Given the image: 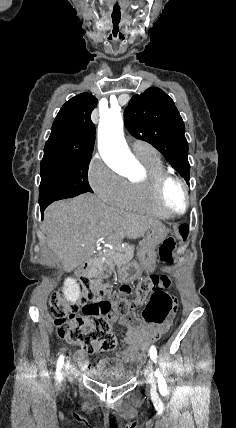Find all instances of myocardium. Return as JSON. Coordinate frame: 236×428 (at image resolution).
<instances>
[{"mask_svg":"<svg viewBox=\"0 0 236 428\" xmlns=\"http://www.w3.org/2000/svg\"><path fill=\"white\" fill-rule=\"evenodd\" d=\"M171 183H176L180 186L184 194L183 206L178 208L171 205L167 201L166 189ZM152 194L157 206L164 212L170 215H179L184 213L190 205V191L187 183L180 177L169 173L163 172L152 180Z\"/></svg>","mask_w":236,"mask_h":428,"instance_id":"f54148a6","label":"myocardium"}]
</instances>
